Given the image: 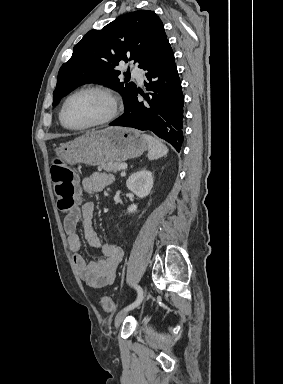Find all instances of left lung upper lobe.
<instances>
[{
  "label": "left lung upper lobe",
  "instance_id": "left-lung-upper-lobe-1",
  "mask_svg": "<svg viewBox=\"0 0 283 384\" xmlns=\"http://www.w3.org/2000/svg\"><path fill=\"white\" fill-rule=\"evenodd\" d=\"M167 42L162 21L150 10L127 13L101 30L87 32L74 46L70 60L59 70L53 105L86 83L104 84L118 91L126 105L136 91V85L120 82L121 72L116 69L119 62L134 60L144 69Z\"/></svg>",
  "mask_w": 283,
  "mask_h": 384
}]
</instances>
